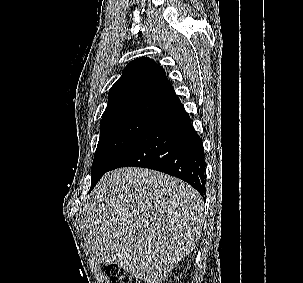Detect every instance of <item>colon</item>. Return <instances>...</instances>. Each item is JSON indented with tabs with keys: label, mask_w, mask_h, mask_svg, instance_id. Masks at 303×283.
Masks as SVG:
<instances>
[{
	"label": "colon",
	"mask_w": 303,
	"mask_h": 283,
	"mask_svg": "<svg viewBox=\"0 0 303 283\" xmlns=\"http://www.w3.org/2000/svg\"><path fill=\"white\" fill-rule=\"evenodd\" d=\"M105 272L112 283H140L138 280L127 276L119 266L113 263L106 264Z\"/></svg>",
	"instance_id": "5ec220e1"
}]
</instances>
